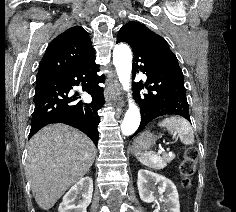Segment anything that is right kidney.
<instances>
[{"mask_svg":"<svg viewBox=\"0 0 236 212\" xmlns=\"http://www.w3.org/2000/svg\"><path fill=\"white\" fill-rule=\"evenodd\" d=\"M93 193V180L86 176L64 195L58 212H87Z\"/></svg>","mask_w":236,"mask_h":212,"instance_id":"1","label":"right kidney"}]
</instances>
